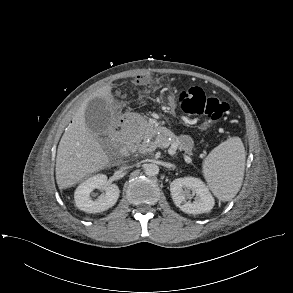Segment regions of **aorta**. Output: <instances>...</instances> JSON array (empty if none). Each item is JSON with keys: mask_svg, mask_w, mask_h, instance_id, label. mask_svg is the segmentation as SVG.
Returning <instances> with one entry per match:
<instances>
[{"mask_svg": "<svg viewBox=\"0 0 293 293\" xmlns=\"http://www.w3.org/2000/svg\"><path fill=\"white\" fill-rule=\"evenodd\" d=\"M144 172L147 176H156L159 173V167L155 163L146 164Z\"/></svg>", "mask_w": 293, "mask_h": 293, "instance_id": "obj_1", "label": "aorta"}]
</instances>
